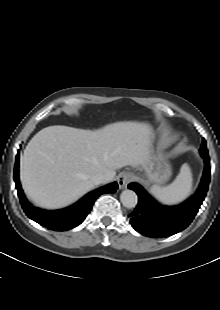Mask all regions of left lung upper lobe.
<instances>
[{"mask_svg": "<svg viewBox=\"0 0 220 310\" xmlns=\"http://www.w3.org/2000/svg\"><path fill=\"white\" fill-rule=\"evenodd\" d=\"M200 154H201V156L208 155V150L206 147V141L204 139H202V146L200 147Z\"/></svg>", "mask_w": 220, "mask_h": 310, "instance_id": "5c2ea615", "label": "left lung upper lobe"}]
</instances>
